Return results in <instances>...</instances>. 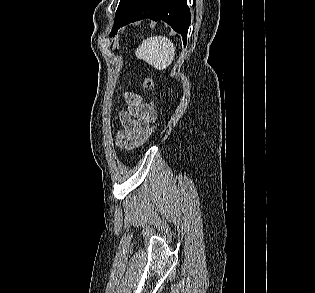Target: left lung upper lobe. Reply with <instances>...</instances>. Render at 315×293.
Returning <instances> with one entry per match:
<instances>
[{"label": "left lung upper lobe", "mask_w": 315, "mask_h": 293, "mask_svg": "<svg viewBox=\"0 0 315 293\" xmlns=\"http://www.w3.org/2000/svg\"><path fill=\"white\" fill-rule=\"evenodd\" d=\"M139 2V0H120L116 11L115 23L110 36H114V31L117 28L119 21L127 15V13Z\"/></svg>", "instance_id": "5c2ea615"}]
</instances>
